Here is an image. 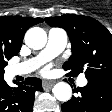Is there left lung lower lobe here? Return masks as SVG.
I'll return each instance as SVG.
<instances>
[{
  "instance_id": "obj_1",
  "label": "left lung lower lobe",
  "mask_w": 112,
  "mask_h": 112,
  "mask_svg": "<svg viewBox=\"0 0 112 112\" xmlns=\"http://www.w3.org/2000/svg\"><path fill=\"white\" fill-rule=\"evenodd\" d=\"M79 93L63 103L62 112H110L112 109V80H88L85 87H78Z\"/></svg>"
}]
</instances>
